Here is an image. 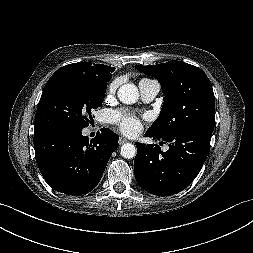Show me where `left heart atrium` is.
I'll return each instance as SVG.
<instances>
[{
    "label": "left heart atrium",
    "instance_id": "1",
    "mask_svg": "<svg viewBox=\"0 0 253 253\" xmlns=\"http://www.w3.org/2000/svg\"><path fill=\"white\" fill-rule=\"evenodd\" d=\"M110 120L117 124L121 131L127 135H134L140 129V122L135 116L118 110L110 113Z\"/></svg>",
    "mask_w": 253,
    "mask_h": 253
}]
</instances>
